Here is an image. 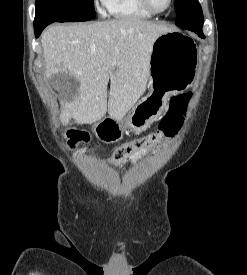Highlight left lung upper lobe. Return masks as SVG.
I'll use <instances>...</instances> for the list:
<instances>
[{
    "mask_svg": "<svg viewBox=\"0 0 247 275\" xmlns=\"http://www.w3.org/2000/svg\"><path fill=\"white\" fill-rule=\"evenodd\" d=\"M176 25L183 29L202 30L204 23L202 8L198 0H174Z\"/></svg>",
    "mask_w": 247,
    "mask_h": 275,
    "instance_id": "left-lung-upper-lobe-1",
    "label": "left lung upper lobe"
}]
</instances>
